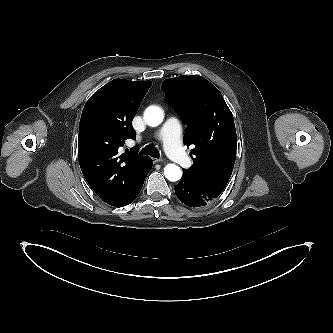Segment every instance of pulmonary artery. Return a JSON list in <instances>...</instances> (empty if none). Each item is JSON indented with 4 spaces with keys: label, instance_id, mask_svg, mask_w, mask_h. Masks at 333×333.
Instances as JSON below:
<instances>
[{
    "label": "pulmonary artery",
    "instance_id": "1",
    "mask_svg": "<svg viewBox=\"0 0 333 333\" xmlns=\"http://www.w3.org/2000/svg\"><path fill=\"white\" fill-rule=\"evenodd\" d=\"M158 137L162 140L167 154L175 162L183 167H189L192 164L182 148V128L176 118L170 117L166 120L158 132Z\"/></svg>",
    "mask_w": 333,
    "mask_h": 333
}]
</instances>
